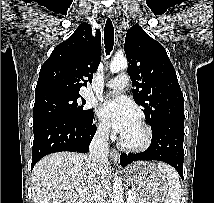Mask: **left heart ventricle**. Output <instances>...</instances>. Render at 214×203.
Returning <instances> with one entry per match:
<instances>
[{
	"instance_id": "obj_1",
	"label": "left heart ventricle",
	"mask_w": 214,
	"mask_h": 203,
	"mask_svg": "<svg viewBox=\"0 0 214 203\" xmlns=\"http://www.w3.org/2000/svg\"><path fill=\"white\" fill-rule=\"evenodd\" d=\"M142 135V131L137 123L133 128L124 133L123 137L126 141L133 143L139 141L142 138Z\"/></svg>"
}]
</instances>
